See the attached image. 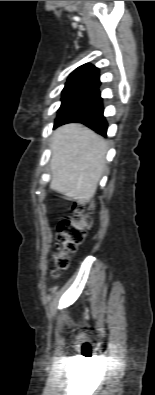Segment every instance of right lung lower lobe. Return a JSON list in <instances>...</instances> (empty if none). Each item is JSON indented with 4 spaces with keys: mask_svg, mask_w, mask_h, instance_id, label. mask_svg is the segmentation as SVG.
I'll return each mask as SVG.
<instances>
[{
    "mask_svg": "<svg viewBox=\"0 0 155 395\" xmlns=\"http://www.w3.org/2000/svg\"><path fill=\"white\" fill-rule=\"evenodd\" d=\"M70 122L85 124L97 133L106 136L107 122L103 116L102 98L99 97L95 102L83 109L81 112L55 124V127Z\"/></svg>",
    "mask_w": 155,
    "mask_h": 395,
    "instance_id": "obj_1",
    "label": "right lung lower lobe"
}]
</instances>
